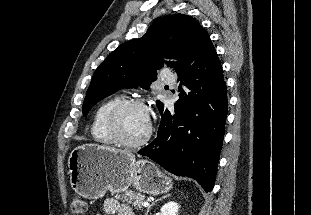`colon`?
<instances>
[{"label":"colon","instance_id":"obj_1","mask_svg":"<svg viewBox=\"0 0 311 215\" xmlns=\"http://www.w3.org/2000/svg\"><path fill=\"white\" fill-rule=\"evenodd\" d=\"M70 207L74 215H85L87 212L86 202L78 196L73 197Z\"/></svg>","mask_w":311,"mask_h":215}]
</instances>
